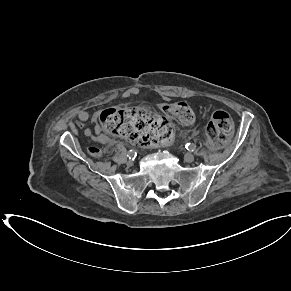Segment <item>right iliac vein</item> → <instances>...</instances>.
Listing matches in <instances>:
<instances>
[{
    "mask_svg": "<svg viewBox=\"0 0 291 291\" xmlns=\"http://www.w3.org/2000/svg\"><path fill=\"white\" fill-rule=\"evenodd\" d=\"M126 164L127 166L131 167L133 166L134 162L132 160H128Z\"/></svg>",
    "mask_w": 291,
    "mask_h": 291,
    "instance_id": "obj_1",
    "label": "right iliac vein"
}]
</instances>
